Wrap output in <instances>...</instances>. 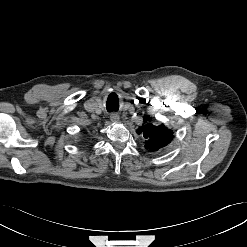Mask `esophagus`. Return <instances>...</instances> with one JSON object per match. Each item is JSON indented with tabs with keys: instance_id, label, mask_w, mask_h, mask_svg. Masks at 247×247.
Wrapping results in <instances>:
<instances>
[{
	"instance_id": "34e87169",
	"label": "esophagus",
	"mask_w": 247,
	"mask_h": 247,
	"mask_svg": "<svg viewBox=\"0 0 247 247\" xmlns=\"http://www.w3.org/2000/svg\"><path fill=\"white\" fill-rule=\"evenodd\" d=\"M119 119H120V117H119V115H118L117 113H113V114H111V116H110V120H111L112 122H118Z\"/></svg>"
}]
</instances>
